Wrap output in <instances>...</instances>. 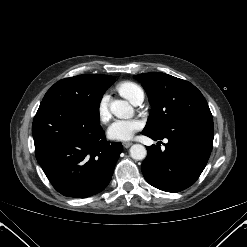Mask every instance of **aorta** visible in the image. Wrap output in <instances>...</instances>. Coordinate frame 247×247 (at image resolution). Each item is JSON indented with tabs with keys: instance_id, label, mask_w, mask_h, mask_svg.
<instances>
[{
	"instance_id": "obj_1",
	"label": "aorta",
	"mask_w": 247,
	"mask_h": 247,
	"mask_svg": "<svg viewBox=\"0 0 247 247\" xmlns=\"http://www.w3.org/2000/svg\"><path fill=\"white\" fill-rule=\"evenodd\" d=\"M110 110L118 118H130L133 115L132 106L124 100H114L110 104ZM147 155L146 148L141 144H134L130 148V156L134 160H143Z\"/></svg>"
}]
</instances>
